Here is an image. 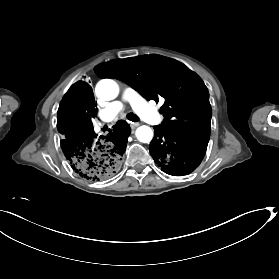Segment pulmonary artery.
<instances>
[{"instance_id": "pulmonary-artery-1", "label": "pulmonary artery", "mask_w": 279, "mask_h": 279, "mask_svg": "<svg viewBox=\"0 0 279 279\" xmlns=\"http://www.w3.org/2000/svg\"><path fill=\"white\" fill-rule=\"evenodd\" d=\"M130 89H124L121 100H115L108 105L113 116H120L126 109L125 103L130 100Z\"/></svg>"}]
</instances>
